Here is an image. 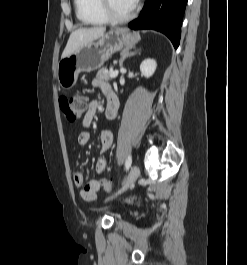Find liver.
<instances>
[{"label":"liver","mask_w":247,"mask_h":265,"mask_svg":"<svg viewBox=\"0 0 247 265\" xmlns=\"http://www.w3.org/2000/svg\"><path fill=\"white\" fill-rule=\"evenodd\" d=\"M104 27H94L89 29H77L71 33L67 45L62 53L61 58H65L76 51L79 47L99 39L104 35Z\"/></svg>","instance_id":"1"}]
</instances>
